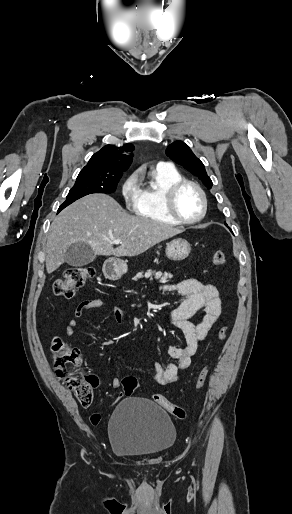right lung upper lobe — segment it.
I'll return each mask as SVG.
<instances>
[{"mask_svg": "<svg viewBox=\"0 0 292 514\" xmlns=\"http://www.w3.org/2000/svg\"><path fill=\"white\" fill-rule=\"evenodd\" d=\"M134 150L132 144H125L117 148L113 145H106L95 153L88 164L81 170V176H96L121 178L122 173L128 169L132 162V156L123 152Z\"/></svg>", "mask_w": 292, "mask_h": 514, "instance_id": "obj_1", "label": "right lung upper lobe"}]
</instances>
